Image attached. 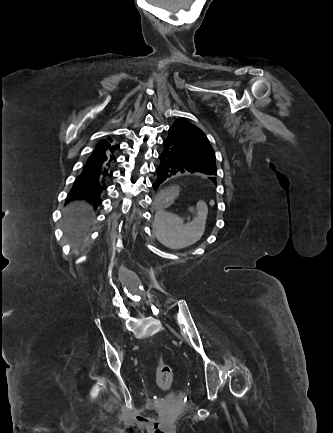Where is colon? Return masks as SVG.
Masks as SVG:
<instances>
[{
    "label": "colon",
    "mask_w": 333,
    "mask_h": 433,
    "mask_svg": "<svg viewBox=\"0 0 333 433\" xmlns=\"http://www.w3.org/2000/svg\"><path fill=\"white\" fill-rule=\"evenodd\" d=\"M173 380V373L164 357H160L156 364V383L158 387L166 391L170 388Z\"/></svg>",
    "instance_id": "colon-1"
}]
</instances>
